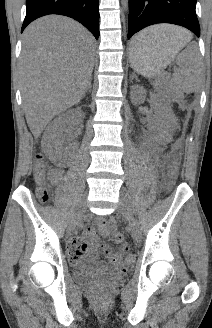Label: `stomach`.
<instances>
[{
    "label": "stomach",
    "mask_w": 212,
    "mask_h": 328,
    "mask_svg": "<svg viewBox=\"0 0 212 328\" xmlns=\"http://www.w3.org/2000/svg\"><path fill=\"white\" fill-rule=\"evenodd\" d=\"M134 43L133 39L129 52L131 65L136 72L148 78L157 76L185 44L169 38L145 49L135 50Z\"/></svg>",
    "instance_id": "obj_1"
}]
</instances>
